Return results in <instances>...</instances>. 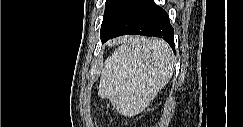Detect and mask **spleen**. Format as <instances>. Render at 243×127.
<instances>
[{
    "mask_svg": "<svg viewBox=\"0 0 243 127\" xmlns=\"http://www.w3.org/2000/svg\"><path fill=\"white\" fill-rule=\"evenodd\" d=\"M173 70V53L166 42L130 39L105 61L98 95L108 98L121 114L138 113L169 81Z\"/></svg>",
    "mask_w": 243,
    "mask_h": 127,
    "instance_id": "obj_1",
    "label": "spleen"
}]
</instances>
